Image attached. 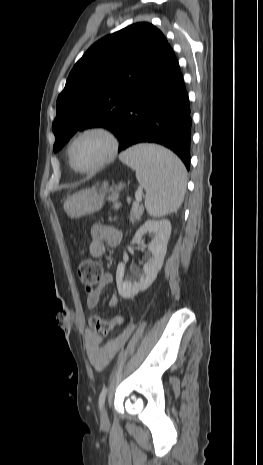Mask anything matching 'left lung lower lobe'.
I'll use <instances>...</instances> for the list:
<instances>
[{"instance_id": "obj_1", "label": "left lung lower lobe", "mask_w": 263, "mask_h": 465, "mask_svg": "<svg viewBox=\"0 0 263 465\" xmlns=\"http://www.w3.org/2000/svg\"><path fill=\"white\" fill-rule=\"evenodd\" d=\"M116 136L119 152L137 143H157L174 151L190 169L189 99L169 44L134 85Z\"/></svg>"}]
</instances>
